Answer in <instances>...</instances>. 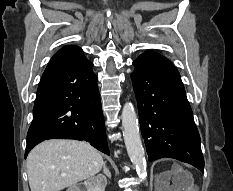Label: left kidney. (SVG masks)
Segmentation results:
<instances>
[{
    "label": "left kidney",
    "instance_id": "obj_1",
    "mask_svg": "<svg viewBox=\"0 0 233 191\" xmlns=\"http://www.w3.org/2000/svg\"><path fill=\"white\" fill-rule=\"evenodd\" d=\"M165 175H166L165 186L167 188V191H172L170 186H169V183H168V180H170V178H171V173L167 172ZM174 180L178 181V177L175 176ZM176 185H178V188H182L179 183H176ZM183 189H186V187H183ZM174 191H178V190H174ZM185 191H187V190H185Z\"/></svg>",
    "mask_w": 233,
    "mask_h": 191
}]
</instances>
